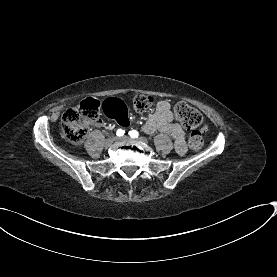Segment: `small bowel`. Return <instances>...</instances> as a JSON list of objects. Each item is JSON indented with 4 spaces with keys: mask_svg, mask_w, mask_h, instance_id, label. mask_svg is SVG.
Returning <instances> with one entry per match:
<instances>
[{
    "mask_svg": "<svg viewBox=\"0 0 277 277\" xmlns=\"http://www.w3.org/2000/svg\"><path fill=\"white\" fill-rule=\"evenodd\" d=\"M102 125L103 121H96L97 127ZM142 129L147 134L156 131L170 134L175 141L177 153L183 155L186 152L185 132L179 123L174 122V113L167 100L162 99L156 103L154 112L148 116Z\"/></svg>",
    "mask_w": 277,
    "mask_h": 277,
    "instance_id": "1",
    "label": "small bowel"
}]
</instances>
